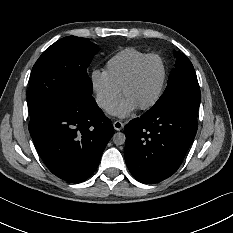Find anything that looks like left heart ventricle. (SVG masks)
Wrapping results in <instances>:
<instances>
[{
    "instance_id": "obj_1",
    "label": "left heart ventricle",
    "mask_w": 233,
    "mask_h": 233,
    "mask_svg": "<svg viewBox=\"0 0 233 233\" xmlns=\"http://www.w3.org/2000/svg\"><path fill=\"white\" fill-rule=\"evenodd\" d=\"M164 78L161 59H151L142 69L138 78L127 90L125 97L132 99L138 107L151 103L159 93Z\"/></svg>"
}]
</instances>
